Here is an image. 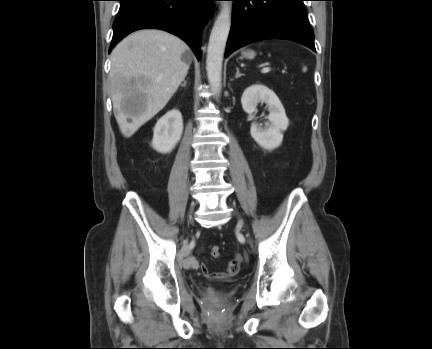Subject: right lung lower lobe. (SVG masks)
I'll use <instances>...</instances> for the list:
<instances>
[{
  "mask_svg": "<svg viewBox=\"0 0 432 349\" xmlns=\"http://www.w3.org/2000/svg\"><path fill=\"white\" fill-rule=\"evenodd\" d=\"M109 53L125 36L139 29H162L184 40L200 59L201 30L214 0H119Z\"/></svg>",
  "mask_w": 432,
  "mask_h": 349,
  "instance_id": "obj_1",
  "label": "right lung lower lobe"
}]
</instances>
